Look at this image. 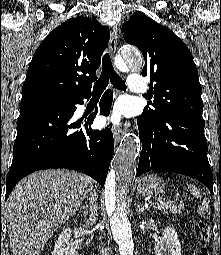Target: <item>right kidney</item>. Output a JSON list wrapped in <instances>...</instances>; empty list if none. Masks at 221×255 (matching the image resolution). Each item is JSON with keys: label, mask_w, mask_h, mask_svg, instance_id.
Here are the masks:
<instances>
[{"label": "right kidney", "mask_w": 221, "mask_h": 255, "mask_svg": "<svg viewBox=\"0 0 221 255\" xmlns=\"http://www.w3.org/2000/svg\"><path fill=\"white\" fill-rule=\"evenodd\" d=\"M71 228H64L55 243L52 255H79L75 248L69 246Z\"/></svg>", "instance_id": "obj_1"}]
</instances>
